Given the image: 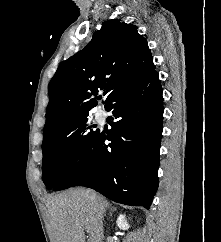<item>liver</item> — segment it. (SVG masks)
I'll list each match as a JSON object with an SVG mask.
<instances>
[{
	"label": "liver",
	"instance_id": "liver-1",
	"mask_svg": "<svg viewBox=\"0 0 221 242\" xmlns=\"http://www.w3.org/2000/svg\"><path fill=\"white\" fill-rule=\"evenodd\" d=\"M50 219L48 232L52 242H102V219L109 203L95 192L69 189L47 201Z\"/></svg>",
	"mask_w": 221,
	"mask_h": 242
}]
</instances>
